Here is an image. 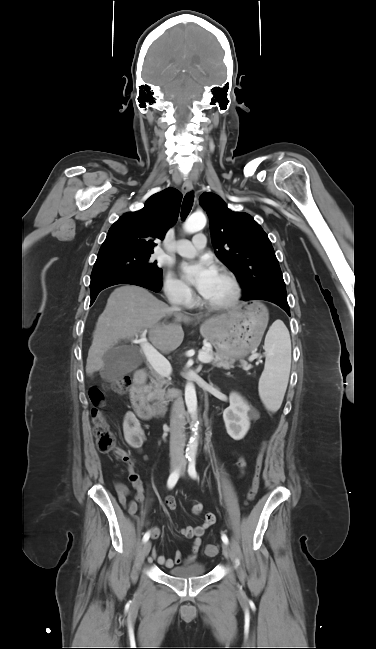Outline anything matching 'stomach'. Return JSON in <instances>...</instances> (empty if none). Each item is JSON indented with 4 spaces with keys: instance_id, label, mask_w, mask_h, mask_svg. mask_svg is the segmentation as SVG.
<instances>
[{
    "instance_id": "obj_1",
    "label": "stomach",
    "mask_w": 376,
    "mask_h": 649,
    "mask_svg": "<svg viewBox=\"0 0 376 649\" xmlns=\"http://www.w3.org/2000/svg\"><path fill=\"white\" fill-rule=\"evenodd\" d=\"M267 324L268 313L264 305L243 303L227 315L204 321L200 333L218 354L236 360L259 346Z\"/></svg>"
}]
</instances>
